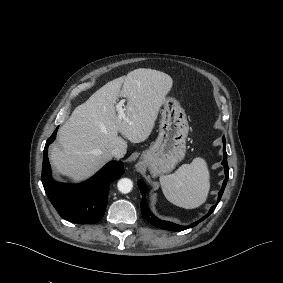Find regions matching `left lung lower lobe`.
Instances as JSON below:
<instances>
[{
	"label": "left lung lower lobe",
	"mask_w": 283,
	"mask_h": 283,
	"mask_svg": "<svg viewBox=\"0 0 283 283\" xmlns=\"http://www.w3.org/2000/svg\"><path fill=\"white\" fill-rule=\"evenodd\" d=\"M223 143H224V146H223L224 159H223L222 164H223L224 169H225V176L226 177H225V180L223 182L222 188L219 191L217 203L220 201V199L222 197V194L224 192V189H225V186L227 184L228 177H229V167H228V164H227V153H226V149H225V137H223ZM138 187H139L141 194H142V200H141L140 205H141V213H142L143 217L145 218V220H147L153 226L158 227L160 229H164V230L183 231L185 229L192 228V227L196 226L199 222L206 219L214 211V209L216 208V205H217V203H216L214 206H212L210 211L204 217H202L199 221L194 222L193 224H191L189 226H182V225L170 222V221L161 220V219L157 218L153 213H151V211L148 208L147 203H146V190H147V188H146L145 183L142 180H139L138 181Z\"/></svg>",
	"instance_id": "left-lung-lower-lobe-1"
}]
</instances>
